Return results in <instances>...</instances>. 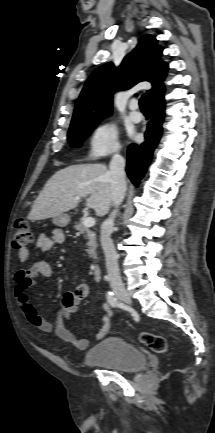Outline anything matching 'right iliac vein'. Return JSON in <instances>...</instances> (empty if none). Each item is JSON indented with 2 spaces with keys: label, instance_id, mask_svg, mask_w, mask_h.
I'll use <instances>...</instances> for the list:
<instances>
[{
  "label": "right iliac vein",
  "instance_id": "1",
  "mask_svg": "<svg viewBox=\"0 0 215 433\" xmlns=\"http://www.w3.org/2000/svg\"><path fill=\"white\" fill-rule=\"evenodd\" d=\"M117 296H118L122 301H124L125 303H127V304H129V305L132 303L131 297H130L129 293L126 292V291H120V292H117Z\"/></svg>",
  "mask_w": 215,
  "mask_h": 433
}]
</instances>
